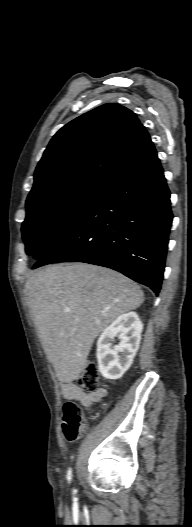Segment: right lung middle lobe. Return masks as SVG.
<instances>
[{"mask_svg":"<svg viewBox=\"0 0 192 527\" xmlns=\"http://www.w3.org/2000/svg\"><path fill=\"white\" fill-rule=\"evenodd\" d=\"M105 184L98 179H84L27 199L22 224L26 253L42 258L82 216Z\"/></svg>","mask_w":192,"mask_h":527,"instance_id":"1","label":"right lung middle lobe"}]
</instances>
